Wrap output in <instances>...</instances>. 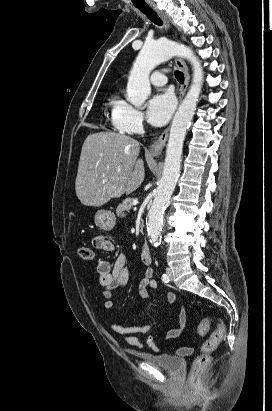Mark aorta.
Returning <instances> with one entry per match:
<instances>
[{
	"label": "aorta",
	"mask_w": 272,
	"mask_h": 411,
	"mask_svg": "<svg viewBox=\"0 0 272 411\" xmlns=\"http://www.w3.org/2000/svg\"><path fill=\"white\" fill-rule=\"evenodd\" d=\"M175 55H180L190 61L193 67V79L190 89L172 121L162 178L148 212L147 232L149 240L154 246L159 245L163 215L179 177L183 143L196 110L204 72L200 61L190 48L168 39H160L144 44L136 58L127 83L128 101L137 108L141 107L151 92L150 72L157 65Z\"/></svg>",
	"instance_id": "aorta-1"
}]
</instances>
